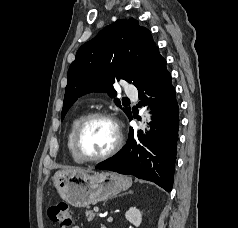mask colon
Instances as JSON below:
<instances>
[{
	"mask_svg": "<svg viewBox=\"0 0 238 228\" xmlns=\"http://www.w3.org/2000/svg\"><path fill=\"white\" fill-rule=\"evenodd\" d=\"M47 215L53 223L63 228H68L72 224L73 212L67 203L60 202L50 206Z\"/></svg>",
	"mask_w": 238,
	"mask_h": 228,
	"instance_id": "1",
	"label": "colon"
}]
</instances>
